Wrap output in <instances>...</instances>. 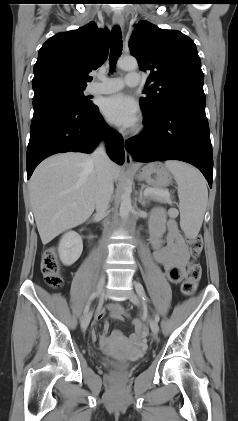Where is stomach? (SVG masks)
I'll list each match as a JSON object with an SVG mask.
<instances>
[{
  "instance_id": "1",
  "label": "stomach",
  "mask_w": 238,
  "mask_h": 421,
  "mask_svg": "<svg viewBox=\"0 0 238 421\" xmlns=\"http://www.w3.org/2000/svg\"><path fill=\"white\" fill-rule=\"evenodd\" d=\"M136 175L139 180L155 188H165L172 182L169 170L160 162L146 164L136 172Z\"/></svg>"
}]
</instances>
